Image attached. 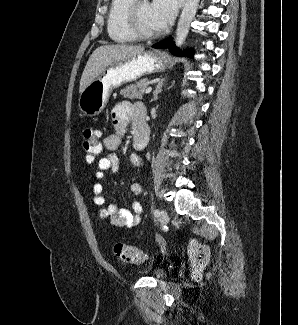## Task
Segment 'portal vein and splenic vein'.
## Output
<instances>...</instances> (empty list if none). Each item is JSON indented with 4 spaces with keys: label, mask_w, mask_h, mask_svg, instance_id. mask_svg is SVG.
Here are the masks:
<instances>
[{
    "label": "portal vein and splenic vein",
    "mask_w": 298,
    "mask_h": 325,
    "mask_svg": "<svg viewBox=\"0 0 298 325\" xmlns=\"http://www.w3.org/2000/svg\"><path fill=\"white\" fill-rule=\"evenodd\" d=\"M152 90V86H146V88H144V92H146V94H148V92H151Z\"/></svg>",
    "instance_id": "18ae733b"
}]
</instances>
